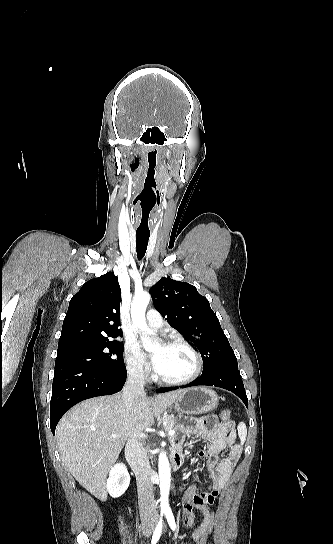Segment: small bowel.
Segmentation results:
<instances>
[{
	"label": "small bowel",
	"mask_w": 333,
	"mask_h": 544,
	"mask_svg": "<svg viewBox=\"0 0 333 544\" xmlns=\"http://www.w3.org/2000/svg\"><path fill=\"white\" fill-rule=\"evenodd\" d=\"M184 437H197L207 444V447L198 453L199 457H206V468L209 472L210 484L208 491L198 493L195 485H189L183 495V518L186 524H192L195 519L194 510L201 517V524L193 534L194 544H206L210 533L213 516V504L220 490L227 484L233 468L238 462L242 445L236 442V431L231 423L221 424L214 416L198 417L183 427ZM182 439L175 440L174 450L181 453ZM227 450V456L221 453ZM182 454V453H181Z\"/></svg>",
	"instance_id": "c3829d8e"
}]
</instances>
